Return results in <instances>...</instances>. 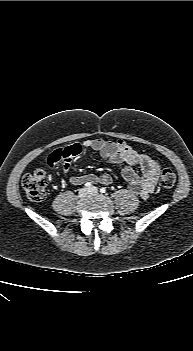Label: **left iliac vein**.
<instances>
[{
	"mask_svg": "<svg viewBox=\"0 0 193 351\" xmlns=\"http://www.w3.org/2000/svg\"><path fill=\"white\" fill-rule=\"evenodd\" d=\"M88 192L90 194H96V193H98V188L97 187H91V188L88 189Z\"/></svg>",
	"mask_w": 193,
	"mask_h": 351,
	"instance_id": "obj_1",
	"label": "left iliac vein"
}]
</instances>
